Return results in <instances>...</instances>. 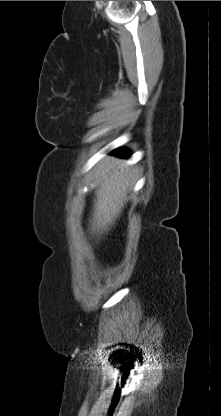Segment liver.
<instances>
[{"label":"liver","instance_id":"liver-1","mask_svg":"<svg viewBox=\"0 0 221 416\" xmlns=\"http://www.w3.org/2000/svg\"><path fill=\"white\" fill-rule=\"evenodd\" d=\"M101 177L91 223L92 232L99 234L108 229L122 211L133 175L129 168L120 166L119 160H114L103 168Z\"/></svg>","mask_w":221,"mask_h":416}]
</instances>
